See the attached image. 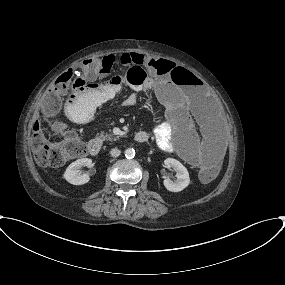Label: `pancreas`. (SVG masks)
Here are the masks:
<instances>
[{
    "label": "pancreas",
    "instance_id": "cf45deb5",
    "mask_svg": "<svg viewBox=\"0 0 285 285\" xmlns=\"http://www.w3.org/2000/svg\"><path fill=\"white\" fill-rule=\"evenodd\" d=\"M98 138L104 141V140H117L119 137L118 136L113 137L112 134H100Z\"/></svg>",
    "mask_w": 285,
    "mask_h": 285
}]
</instances>
